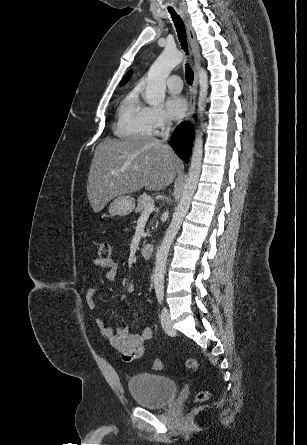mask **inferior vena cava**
I'll return each instance as SVG.
<instances>
[{
  "label": "inferior vena cava",
  "mask_w": 307,
  "mask_h": 445,
  "mask_svg": "<svg viewBox=\"0 0 307 445\" xmlns=\"http://www.w3.org/2000/svg\"><path fill=\"white\" fill-rule=\"evenodd\" d=\"M170 128H171V122H169V120H167L165 128H162V130H164V132H161V134L163 136V140H167V138L169 136Z\"/></svg>",
  "instance_id": "602c4592"
}]
</instances>
